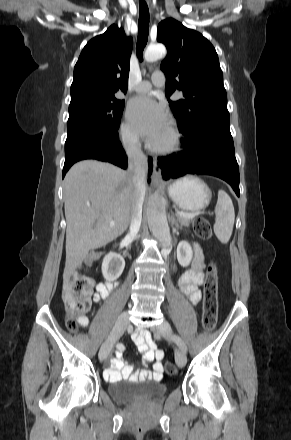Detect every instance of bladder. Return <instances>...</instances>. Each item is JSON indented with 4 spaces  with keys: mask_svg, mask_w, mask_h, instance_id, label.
Wrapping results in <instances>:
<instances>
[{
    "mask_svg": "<svg viewBox=\"0 0 291 440\" xmlns=\"http://www.w3.org/2000/svg\"><path fill=\"white\" fill-rule=\"evenodd\" d=\"M140 381H116L110 386V395L120 403H131L140 400H154L164 395L166 388L157 383Z\"/></svg>",
    "mask_w": 291,
    "mask_h": 440,
    "instance_id": "1",
    "label": "bladder"
}]
</instances>
